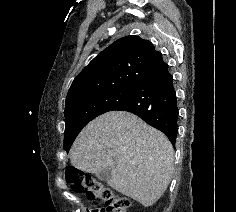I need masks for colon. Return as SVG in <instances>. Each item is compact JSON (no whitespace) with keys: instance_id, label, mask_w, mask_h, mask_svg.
Segmentation results:
<instances>
[{"instance_id":"obj_1","label":"colon","mask_w":236,"mask_h":212,"mask_svg":"<svg viewBox=\"0 0 236 212\" xmlns=\"http://www.w3.org/2000/svg\"><path fill=\"white\" fill-rule=\"evenodd\" d=\"M66 179L76 193H84L89 199H99L105 204V207L92 209L91 212H128L129 201L115 194L90 174L68 168Z\"/></svg>"}]
</instances>
